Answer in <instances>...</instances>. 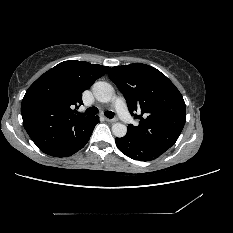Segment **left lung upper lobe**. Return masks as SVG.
Listing matches in <instances>:
<instances>
[{
	"label": "left lung upper lobe",
	"mask_w": 233,
	"mask_h": 233,
	"mask_svg": "<svg viewBox=\"0 0 233 233\" xmlns=\"http://www.w3.org/2000/svg\"><path fill=\"white\" fill-rule=\"evenodd\" d=\"M108 76L124 95L131 115L140 120L127 127V135L164 152L172 147L186 120L185 102L176 86L156 68L140 63L109 68Z\"/></svg>",
	"instance_id": "5c2ea615"
}]
</instances>
